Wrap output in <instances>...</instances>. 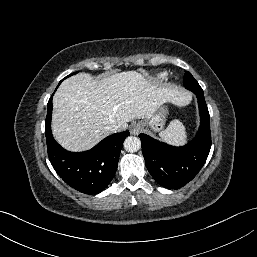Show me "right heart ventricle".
I'll return each mask as SVG.
<instances>
[{"instance_id":"right-heart-ventricle-1","label":"right heart ventricle","mask_w":257,"mask_h":257,"mask_svg":"<svg viewBox=\"0 0 257 257\" xmlns=\"http://www.w3.org/2000/svg\"><path fill=\"white\" fill-rule=\"evenodd\" d=\"M159 77H160V78H164V77H165V74H160Z\"/></svg>"}]
</instances>
